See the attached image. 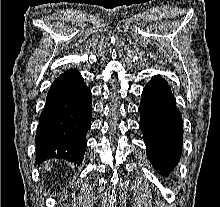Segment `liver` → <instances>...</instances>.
<instances>
[{
    "label": "liver",
    "mask_w": 220,
    "mask_h": 207,
    "mask_svg": "<svg viewBox=\"0 0 220 207\" xmlns=\"http://www.w3.org/2000/svg\"><path fill=\"white\" fill-rule=\"evenodd\" d=\"M44 167L46 170L50 171V162H45Z\"/></svg>",
    "instance_id": "obj_1"
}]
</instances>
